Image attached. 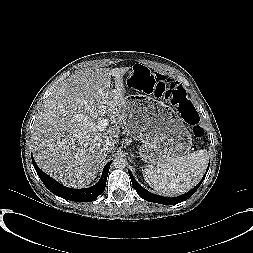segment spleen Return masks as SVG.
<instances>
[{
    "label": "spleen",
    "instance_id": "3e777b00",
    "mask_svg": "<svg viewBox=\"0 0 253 253\" xmlns=\"http://www.w3.org/2000/svg\"><path fill=\"white\" fill-rule=\"evenodd\" d=\"M207 164L208 152L201 149L149 166L143 170V177L158 194L171 197L195 186L202 178Z\"/></svg>",
    "mask_w": 253,
    "mask_h": 253
}]
</instances>
